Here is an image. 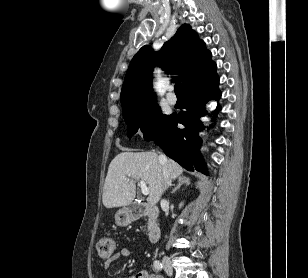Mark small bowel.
Wrapping results in <instances>:
<instances>
[{
    "mask_svg": "<svg viewBox=\"0 0 308 278\" xmlns=\"http://www.w3.org/2000/svg\"><path fill=\"white\" fill-rule=\"evenodd\" d=\"M134 254L135 253L128 248H121L119 251H117L111 257H109V259L104 263V268H108L112 263L118 260L129 259L133 257ZM125 278H161V277L154 273H150L147 270H140L137 272L130 273Z\"/></svg>",
    "mask_w": 308,
    "mask_h": 278,
    "instance_id": "1",
    "label": "small bowel"
}]
</instances>
